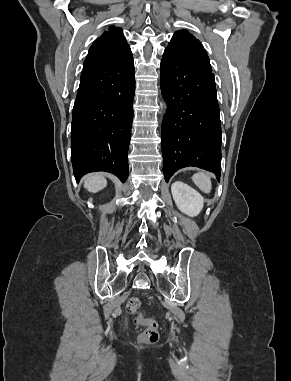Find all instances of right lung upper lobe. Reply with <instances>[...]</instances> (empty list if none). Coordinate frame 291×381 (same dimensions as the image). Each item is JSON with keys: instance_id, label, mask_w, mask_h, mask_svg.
I'll return each instance as SVG.
<instances>
[{"instance_id": "cb5924a9", "label": "right lung upper lobe", "mask_w": 291, "mask_h": 381, "mask_svg": "<svg viewBox=\"0 0 291 381\" xmlns=\"http://www.w3.org/2000/svg\"><path fill=\"white\" fill-rule=\"evenodd\" d=\"M130 48L123 35L122 29L110 26L109 30L97 38L89 49L87 58L121 55Z\"/></svg>"}]
</instances>
